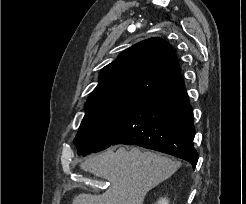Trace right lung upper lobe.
<instances>
[{
    "mask_svg": "<svg viewBox=\"0 0 246 204\" xmlns=\"http://www.w3.org/2000/svg\"><path fill=\"white\" fill-rule=\"evenodd\" d=\"M180 75L177 56L170 44L150 38L124 50L105 66L88 102L138 98Z\"/></svg>",
    "mask_w": 246,
    "mask_h": 204,
    "instance_id": "1",
    "label": "right lung upper lobe"
}]
</instances>
